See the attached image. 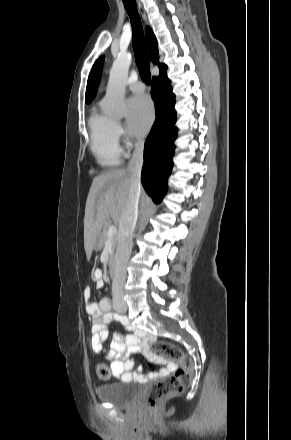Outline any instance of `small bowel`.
<instances>
[{"label":"small bowel","instance_id":"obj_1","mask_svg":"<svg viewBox=\"0 0 291 440\" xmlns=\"http://www.w3.org/2000/svg\"><path fill=\"white\" fill-rule=\"evenodd\" d=\"M92 279L98 287L103 286L102 273L100 271H95ZM83 297L86 311L93 319L91 347L102 361L110 365L114 376L145 383L167 376L176 370L177 364L175 361L155 358L149 355V343L155 340V335L150 332L137 330L133 335L115 333L108 344V324L113 321L125 323L127 320L110 312V303L107 299H103L99 305L94 303L91 299L90 287L84 289ZM136 351H142L152 362L162 364L164 367L153 369L147 375L144 374L142 367L132 372L134 361L129 359V357Z\"/></svg>","mask_w":291,"mask_h":440}]
</instances>
